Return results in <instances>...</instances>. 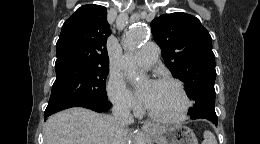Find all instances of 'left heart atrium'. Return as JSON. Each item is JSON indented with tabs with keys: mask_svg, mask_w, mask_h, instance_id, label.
<instances>
[{
	"mask_svg": "<svg viewBox=\"0 0 260 144\" xmlns=\"http://www.w3.org/2000/svg\"><path fill=\"white\" fill-rule=\"evenodd\" d=\"M154 86L155 82H151L147 87L139 92L140 98L145 104H148V102L150 101L153 94Z\"/></svg>",
	"mask_w": 260,
	"mask_h": 144,
	"instance_id": "1",
	"label": "left heart atrium"
}]
</instances>
